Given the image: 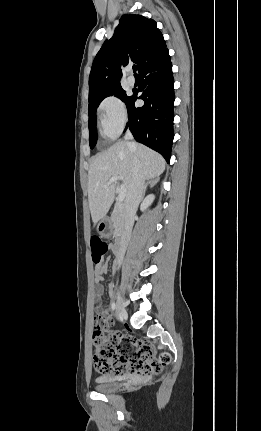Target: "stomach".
<instances>
[{
    "label": "stomach",
    "instance_id": "0dacf381",
    "mask_svg": "<svg viewBox=\"0 0 261 431\" xmlns=\"http://www.w3.org/2000/svg\"><path fill=\"white\" fill-rule=\"evenodd\" d=\"M97 232L104 237H110L113 233V226L109 219L101 220L97 225Z\"/></svg>",
    "mask_w": 261,
    "mask_h": 431
}]
</instances>
